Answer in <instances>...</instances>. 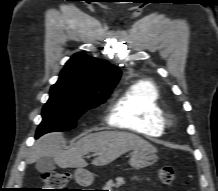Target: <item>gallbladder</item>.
<instances>
[{"mask_svg":"<svg viewBox=\"0 0 218 191\" xmlns=\"http://www.w3.org/2000/svg\"><path fill=\"white\" fill-rule=\"evenodd\" d=\"M36 169L41 172H50L55 169L54 160L49 156H44L36 161Z\"/></svg>","mask_w":218,"mask_h":191,"instance_id":"gallbladder-1","label":"gallbladder"}]
</instances>
